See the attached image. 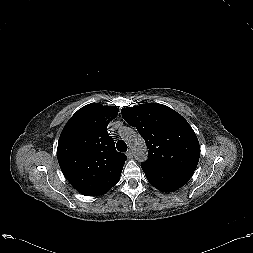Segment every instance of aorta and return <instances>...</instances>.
Segmentation results:
<instances>
[{"instance_id":"aorta-1","label":"aorta","mask_w":253,"mask_h":253,"mask_svg":"<svg viewBox=\"0 0 253 253\" xmlns=\"http://www.w3.org/2000/svg\"><path fill=\"white\" fill-rule=\"evenodd\" d=\"M122 136L134 150L135 159L144 162L147 159V149L143 138L129 128L125 129Z\"/></svg>"}]
</instances>
